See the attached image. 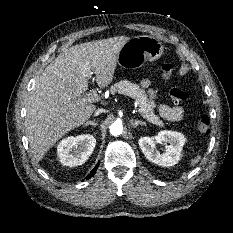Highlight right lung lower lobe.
<instances>
[{
  "label": "right lung lower lobe",
  "mask_w": 233,
  "mask_h": 233,
  "mask_svg": "<svg viewBox=\"0 0 233 233\" xmlns=\"http://www.w3.org/2000/svg\"><path fill=\"white\" fill-rule=\"evenodd\" d=\"M99 164H97L94 169L90 172V174L88 175V178L92 177L95 173H96V170H97V167H98Z\"/></svg>",
  "instance_id": "right-lung-lower-lobe-1"
}]
</instances>
